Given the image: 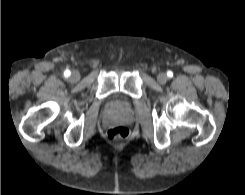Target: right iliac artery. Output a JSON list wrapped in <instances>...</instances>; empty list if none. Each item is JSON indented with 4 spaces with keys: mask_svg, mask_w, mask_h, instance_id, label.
I'll list each match as a JSON object with an SVG mask.
<instances>
[{
    "mask_svg": "<svg viewBox=\"0 0 245 195\" xmlns=\"http://www.w3.org/2000/svg\"><path fill=\"white\" fill-rule=\"evenodd\" d=\"M70 74H71V72L69 70H65V72H64V76L65 77H69Z\"/></svg>",
    "mask_w": 245,
    "mask_h": 195,
    "instance_id": "obj_1",
    "label": "right iliac artery"
}]
</instances>
